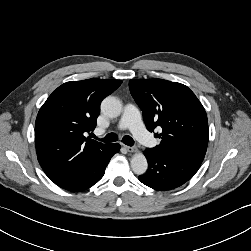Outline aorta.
Instances as JSON below:
<instances>
[{
  "label": "aorta",
  "mask_w": 251,
  "mask_h": 251,
  "mask_svg": "<svg viewBox=\"0 0 251 251\" xmlns=\"http://www.w3.org/2000/svg\"><path fill=\"white\" fill-rule=\"evenodd\" d=\"M122 104L119 99L113 96L106 97L101 103V112L109 117L116 118L121 114ZM131 168L137 175H142L147 171V159L142 153H136L131 158Z\"/></svg>",
  "instance_id": "obj_1"
}]
</instances>
